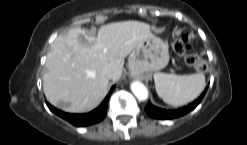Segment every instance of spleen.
Masks as SVG:
<instances>
[{
    "instance_id": "obj_1",
    "label": "spleen",
    "mask_w": 247,
    "mask_h": 145,
    "mask_svg": "<svg viewBox=\"0 0 247 145\" xmlns=\"http://www.w3.org/2000/svg\"><path fill=\"white\" fill-rule=\"evenodd\" d=\"M158 96L172 106H182L196 99L205 88V76L202 73L175 75L154 74Z\"/></svg>"
}]
</instances>
